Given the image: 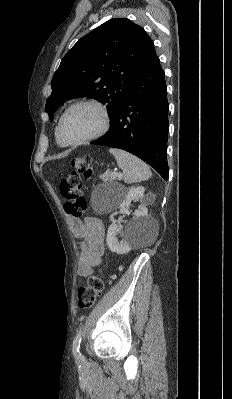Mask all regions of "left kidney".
Segmentation results:
<instances>
[{
    "mask_svg": "<svg viewBox=\"0 0 232 399\" xmlns=\"http://www.w3.org/2000/svg\"><path fill=\"white\" fill-rule=\"evenodd\" d=\"M144 192L145 188L143 186L126 190L125 200L120 203L119 213H130L131 201H141V205H139L138 209H135L134 217L127 223L122 241H118V237H116L120 225L118 223L109 225L106 241L111 251L127 253V251L132 249L133 245H140L147 233H150V229H153V223L148 217V209L144 201Z\"/></svg>",
    "mask_w": 232,
    "mask_h": 399,
    "instance_id": "1",
    "label": "left kidney"
}]
</instances>
